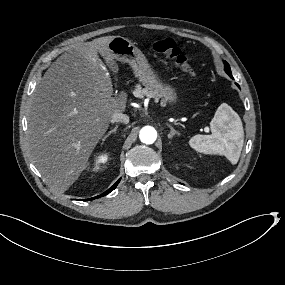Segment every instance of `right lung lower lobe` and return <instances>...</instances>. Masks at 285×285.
Instances as JSON below:
<instances>
[{"instance_id":"right-lung-lower-lobe-1","label":"right lung lower lobe","mask_w":285,"mask_h":285,"mask_svg":"<svg viewBox=\"0 0 285 285\" xmlns=\"http://www.w3.org/2000/svg\"><path fill=\"white\" fill-rule=\"evenodd\" d=\"M121 179H119L110 189H108L107 191H105L104 193H102L101 195L99 196H96V197H93V198H90V199H86V200H92V199H95V198H99V197H102L104 195H107L108 193H110L112 190H114L116 188V186L118 185V183L120 182Z\"/></svg>"}]
</instances>
